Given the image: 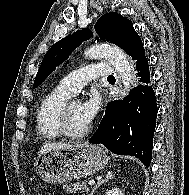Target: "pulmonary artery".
<instances>
[{"instance_id": "e3ab8cb5", "label": "pulmonary artery", "mask_w": 189, "mask_h": 195, "mask_svg": "<svg viewBox=\"0 0 189 195\" xmlns=\"http://www.w3.org/2000/svg\"><path fill=\"white\" fill-rule=\"evenodd\" d=\"M110 72L111 67L109 64H90L69 73L61 80L60 86L68 91L71 95H75L89 81L95 78L105 77Z\"/></svg>"}]
</instances>
